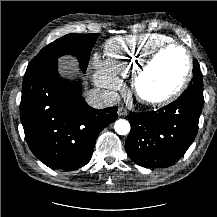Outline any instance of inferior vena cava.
<instances>
[{
  "label": "inferior vena cava",
  "mask_w": 217,
  "mask_h": 217,
  "mask_svg": "<svg viewBox=\"0 0 217 217\" xmlns=\"http://www.w3.org/2000/svg\"><path fill=\"white\" fill-rule=\"evenodd\" d=\"M85 100L87 104L96 109L114 106L119 100L117 93L104 89H92L88 91Z\"/></svg>",
  "instance_id": "1"
}]
</instances>
